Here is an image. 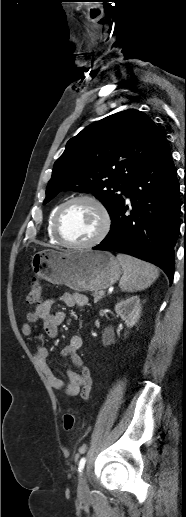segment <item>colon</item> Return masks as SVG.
Wrapping results in <instances>:
<instances>
[{
    "mask_svg": "<svg viewBox=\"0 0 186 517\" xmlns=\"http://www.w3.org/2000/svg\"><path fill=\"white\" fill-rule=\"evenodd\" d=\"M42 300V290L37 281H34L29 289L26 302L29 306L39 304ZM76 423L74 412L69 411L63 416V427L65 431H71Z\"/></svg>",
    "mask_w": 186,
    "mask_h": 517,
    "instance_id": "1",
    "label": "colon"
}]
</instances>
